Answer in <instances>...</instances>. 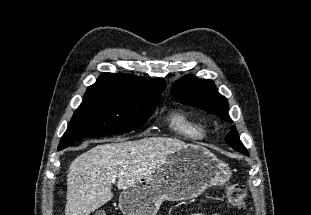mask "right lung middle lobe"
Listing matches in <instances>:
<instances>
[{"label": "right lung middle lobe", "instance_id": "right-lung-middle-lobe-1", "mask_svg": "<svg viewBox=\"0 0 311 215\" xmlns=\"http://www.w3.org/2000/svg\"><path fill=\"white\" fill-rule=\"evenodd\" d=\"M160 98L139 99L103 93L84 95L58 146L62 150L92 136L126 133L142 127Z\"/></svg>", "mask_w": 311, "mask_h": 215}]
</instances>
